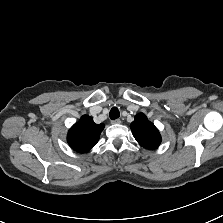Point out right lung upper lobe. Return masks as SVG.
Here are the masks:
<instances>
[{
  "label": "right lung upper lobe",
  "instance_id": "cb5924a9",
  "mask_svg": "<svg viewBox=\"0 0 223 223\" xmlns=\"http://www.w3.org/2000/svg\"><path fill=\"white\" fill-rule=\"evenodd\" d=\"M103 129L104 124H96L92 117L83 115L69 130L67 141L72 149L84 153L98 142Z\"/></svg>",
  "mask_w": 223,
  "mask_h": 223
}]
</instances>
